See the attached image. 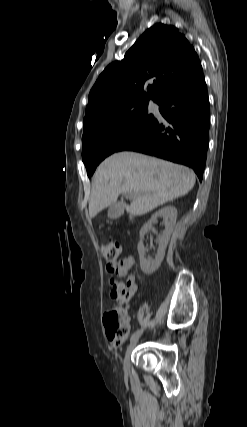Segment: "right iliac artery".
Masks as SVG:
<instances>
[{
  "label": "right iliac artery",
  "instance_id": "obj_1",
  "mask_svg": "<svg viewBox=\"0 0 247 427\" xmlns=\"http://www.w3.org/2000/svg\"><path fill=\"white\" fill-rule=\"evenodd\" d=\"M142 332L141 329H138L137 331H135L132 336H131V340H133L134 338H136L137 336L140 335V333Z\"/></svg>",
  "mask_w": 247,
  "mask_h": 427
}]
</instances>
